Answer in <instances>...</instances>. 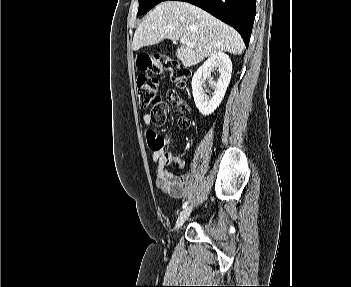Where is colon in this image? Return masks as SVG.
Returning <instances> with one entry per match:
<instances>
[{
  "instance_id": "5ec220e1",
  "label": "colon",
  "mask_w": 351,
  "mask_h": 287,
  "mask_svg": "<svg viewBox=\"0 0 351 287\" xmlns=\"http://www.w3.org/2000/svg\"><path fill=\"white\" fill-rule=\"evenodd\" d=\"M138 68L141 74L137 79L136 92L139 98L141 108L153 107L152 123L161 125L166 119L168 105L158 96V79L157 75L166 72L169 74L170 80L178 86H185L191 76V72L186 67L180 65L163 54H155L153 56L143 55L138 59ZM167 99L180 113L179 125L181 128L190 126V107L174 92L167 94ZM155 132V131H154Z\"/></svg>"
}]
</instances>
